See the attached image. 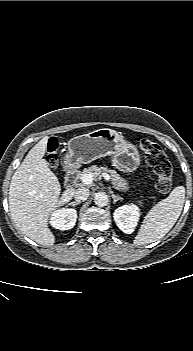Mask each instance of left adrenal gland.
<instances>
[{
  "label": "left adrenal gland",
  "instance_id": "1",
  "mask_svg": "<svg viewBox=\"0 0 193 351\" xmlns=\"http://www.w3.org/2000/svg\"><path fill=\"white\" fill-rule=\"evenodd\" d=\"M112 198H113V203L115 204L118 200H122V198L118 195H115L113 192H111Z\"/></svg>",
  "mask_w": 193,
  "mask_h": 351
}]
</instances>
